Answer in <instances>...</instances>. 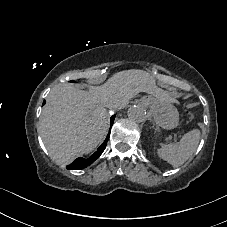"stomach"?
<instances>
[{
    "instance_id": "1",
    "label": "stomach",
    "mask_w": 227,
    "mask_h": 227,
    "mask_svg": "<svg viewBox=\"0 0 227 227\" xmlns=\"http://www.w3.org/2000/svg\"><path fill=\"white\" fill-rule=\"evenodd\" d=\"M145 101L149 104L154 121L158 126L164 129H173L178 125L179 113L174 105L153 97H146Z\"/></svg>"
}]
</instances>
